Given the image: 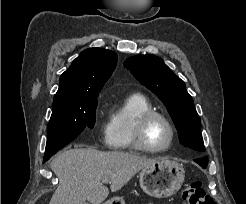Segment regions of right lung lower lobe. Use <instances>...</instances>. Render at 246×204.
I'll return each mask as SVG.
<instances>
[{"label": "right lung lower lobe", "mask_w": 246, "mask_h": 204, "mask_svg": "<svg viewBox=\"0 0 246 204\" xmlns=\"http://www.w3.org/2000/svg\"><path fill=\"white\" fill-rule=\"evenodd\" d=\"M49 158H44V161L43 162H45V161H47Z\"/></svg>", "instance_id": "98d812e1"}]
</instances>
